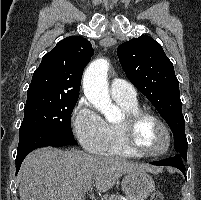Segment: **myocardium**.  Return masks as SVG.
I'll return each mask as SVG.
<instances>
[{"label": "myocardium", "mask_w": 201, "mask_h": 200, "mask_svg": "<svg viewBox=\"0 0 201 200\" xmlns=\"http://www.w3.org/2000/svg\"><path fill=\"white\" fill-rule=\"evenodd\" d=\"M152 120L157 123L161 129L163 130L166 138L165 146L161 151L158 152H146L140 149L136 142V132L139 125L144 120ZM120 129L122 133V139L125 147L130 150L133 154L138 157H146V158H158L165 155L170 147H171V133L166 125V123L159 118L157 115L144 111V110H137L132 113L125 114L123 120L120 122Z\"/></svg>", "instance_id": "myocardium-1"}]
</instances>
